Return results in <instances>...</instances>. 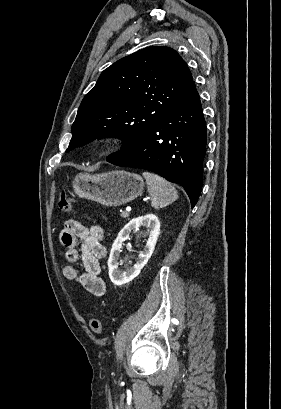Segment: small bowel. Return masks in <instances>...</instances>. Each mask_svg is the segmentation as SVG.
Returning <instances> with one entry per match:
<instances>
[{"label":"small bowel","mask_w":281,"mask_h":409,"mask_svg":"<svg viewBox=\"0 0 281 409\" xmlns=\"http://www.w3.org/2000/svg\"><path fill=\"white\" fill-rule=\"evenodd\" d=\"M59 238L66 247L64 255L69 263L63 268L64 277L92 295L103 296L106 286L100 276V260L105 256L106 250L101 228L68 219L60 231ZM79 259L83 266L82 272L75 265Z\"/></svg>","instance_id":"small-bowel-1"}]
</instances>
